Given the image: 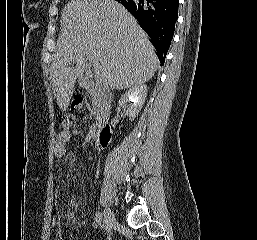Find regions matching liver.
<instances>
[{"mask_svg": "<svg viewBox=\"0 0 257 240\" xmlns=\"http://www.w3.org/2000/svg\"><path fill=\"white\" fill-rule=\"evenodd\" d=\"M61 34L51 67L52 89L59 108L70 103L86 57L99 64L105 87L127 89L149 81L158 58L135 18L115 0H71L61 15ZM76 63L75 67H69Z\"/></svg>", "mask_w": 257, "mask_h": 240, "instance_id": "obj_1", "label": "liver"}]
</instances>
